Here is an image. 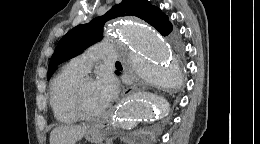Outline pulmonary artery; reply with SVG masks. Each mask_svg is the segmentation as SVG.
Returning <instances> with one entry per match:
<instances>
[{"instance_id": "obj_1", "label": "pulmonary artery", "mask_w": 260, "mask_h": 144, "mask_svg": "<svg viewBox=\"0 0 260 144\" xmlns=\"http://www.w3.org/2000/svg\"><path fill=\"white\" fill-rule=\"evenodd\" d=\"M99 59H103L106 62H112L118 59V55L115 49L110 44L99 43L95 47L74 57L71 60V64L80 72L85 74Z\"/></svg>"}]
</instances>
